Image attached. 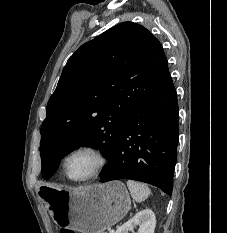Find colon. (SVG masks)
I'll use <instances>...</instances> for the list:
<instances>
[{"label":"colon","instance_id":"1","mask_svg":"<svg viewBox=\"0 0 227 233\" xmlns=\"http://www.w3.org/2000/svg\"><path fill=\"white\" fill-rule=\"evenodd\" d=\"M60 233H76V232L73 230H69V229H62Z\"/></svg>","mask_w":227,"mask_h":233}]
</instances>
